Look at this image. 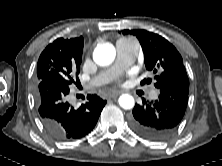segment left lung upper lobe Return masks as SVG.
<instances>
[{"label": "left lung upper lobe", "mask_w": 222, "mask_h": 166, "mask_svg": "<svg viewBox=\"0 0 222 166\" xmlns=\"http://www.w3.org/2000/svg\"><path fill=\"white\" fill-rule=\"evenodd\" d=\"M123 34L136 36L142 46L147 70L156 73L154 84L160 88L166 84H180L189 87V79L183 60L176 48L158 34L143 30H123ZM146 80L141 81L143 85ZM151 82L150 79L147 83Z\"/></svg>", "instance_id": "5c2ea615"}]
</instances>
